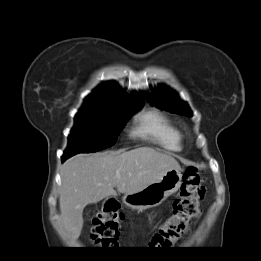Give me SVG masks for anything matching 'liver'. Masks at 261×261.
Returning <instances> with one entry per match:
<instances>
[{"label": "liver", "instance_id": "1", "mask_svg": "<svg viewBox=\"0 0 261 261\" xmlns=\"http://www.w3.org/2000/svg\"><path fill=\"white\" fill-rule=\"evenodd\" d=\"M179 163L168 154L150 147L130 151L78 154L67 160L61 171L60 219L72 240L80 236L86 205L135 193L160 180Z\"/></svg>", "mask_w": 261, "mask_h": 261}]
</instances>
